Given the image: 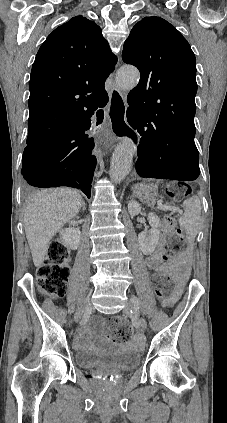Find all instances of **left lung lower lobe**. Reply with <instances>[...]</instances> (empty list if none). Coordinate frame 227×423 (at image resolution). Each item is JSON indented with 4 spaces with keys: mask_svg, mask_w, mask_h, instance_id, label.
Wrapping results in <instances>:
<instances>
[{
    "mask_svg": "<svg viewBox=\"0 0 227 423\" xmlns=\"http://www.w3.org/2000/svg\"><path fill=\"white\" fill-rule=\"evenodd\" d=\"M194 115L128 107L127 121L141 135L136 162L139 176L180 181L199 176Z\"/></svg>",
    "mask_w": 227,
    "mask_h": 423,
    "instance_id": "left-lung-lower-lobe-1",
    "label": "left lung lower lobe"
}]
</instances>
